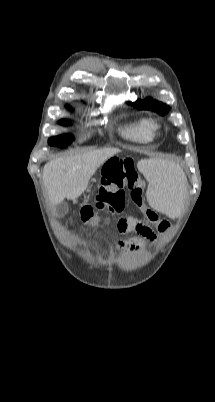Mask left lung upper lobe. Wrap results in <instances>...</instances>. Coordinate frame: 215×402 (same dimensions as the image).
Returning a JSON list of instances; mask_svg holds the SVG:
<instances>
[{"label": "left lung upper lobe", "instance_id": "5c2ea615", "mask_svg": "<svg viewBox=\"0 0 215 402\" xmlns=\"http://www.w3.org/2000/svg\"><path fill=\"white\" fill-rule=\"evenodd\" d=\"M131 104L134 105L136 108L152 110L162 115H165L168 112V106L151 98H146L145 100H137L136 102Z\"/></svg>", "mask_w": 215, "mask_h": 402}]
</instances>
